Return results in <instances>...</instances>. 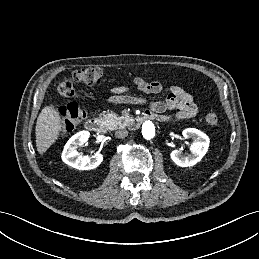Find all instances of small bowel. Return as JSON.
Segmentation results:
<instances>
[{
  "instance_id": "1",
  "label": "small bowel",
  "mask_w": 259,
  "mask_h": 259,
  "mask_svg": "<svg viewBox=\"0 0 259 259\" xmlns=\"http://www.w3.org/2000/svg\"><path fill=\"white\" fill-rule=\"evenodd\" d=\"M134 83L138 90L145 94H158L162 90L161 82L146 81L140 77L134 79ZM125 87H115L112 90V96L109 98V103L112 105L118 104H144L146 100L126 93ZM168 95L165 100H152L148 102L150 113L156 116V119L161 122H168L180 119H188L194 117L198 108L194 102V97L183 90L181 87L172 85L168 88ZM178 110L175 116H167L163 113L166 110Z\"/></svg>"
}]
</instances>
